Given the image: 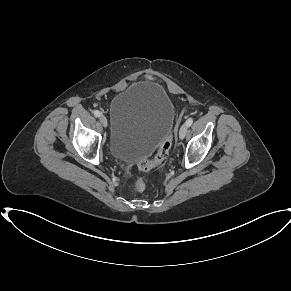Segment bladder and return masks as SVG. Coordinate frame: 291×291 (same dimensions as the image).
Returning <instances> with one entry per match:
<instances>
[{"mask_svg": "<svg viewBox=\"0 0 291 291\" xmlns=\"http://www.w3.org/2000/svg\"><path fill=\"white\" fill-rule=\"evenodd\" d=\"M173 122V103L160 85L145 81L131 84L110 106V156L121 162L150 156L170 135Z\"/></svg>", "mask_w": 291, "mask_h": 291, "instance_id": "bladder-1", "label": "bladder"}]
</instances>
